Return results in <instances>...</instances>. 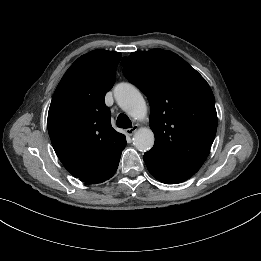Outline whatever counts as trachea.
Segmentation results:
<instances>
[{
	"mask_svg": "<svg viewBox=\"0 0 261 261\" xmlns=\"http://www.w3.org/2000/svg\"><path fill=\"white\" fill-rule=\"evenodd\" d=\"M117 126L119 128H131L132 127V123L131 120L129 119V117L125 114H120L117 118Z\"/></svg>",
	"mask_w": 261,
	"mask_h": 261,
	"instance_id": "trachea-1",
	"label": "trachea"
}]
</instances>
